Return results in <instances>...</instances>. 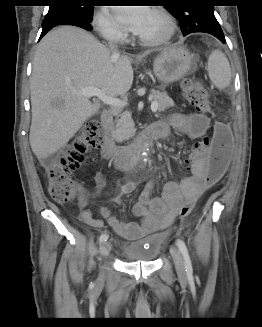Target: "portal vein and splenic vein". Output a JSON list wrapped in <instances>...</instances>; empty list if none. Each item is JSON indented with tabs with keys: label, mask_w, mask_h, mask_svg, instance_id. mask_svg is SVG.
Masks as SVG:
<instances>
[{
	"label": "portal vein and splenic vein",
	"mask_w": 262,
	"mask_h": 327,
	"mask_svg": "<svg viewBox=\"0 0 262 327\" xmlns=\"http://www.w3.org/2000/svg\"><path fill=\"white\" fill-rule=\"evenodd\" d=\"M80 95L86 96V97H93L96 96L98 97L103 103L113 106V107H122L126 105V102L114 98V97H109L105 94V92L99 88H94V87H87L78 92ZM158 109V103L156 101H152L151 103V110L152 112H156Z\"/></svg>",
	"instance_id": "1"
}]
</instances>
